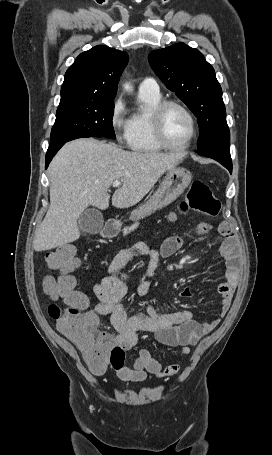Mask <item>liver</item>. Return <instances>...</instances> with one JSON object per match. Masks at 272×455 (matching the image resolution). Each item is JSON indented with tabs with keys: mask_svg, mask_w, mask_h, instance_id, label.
Masks as SVG:
<instances>
[{
	"mask_svg": "<svg viewBox=\"0 0 272 455\" xmlns=\"http://www.w3.org/2000/svg\"><path fill=\"white\" fill-rule=\"evenodd\" d=\"M183 156L129 152L92 138L66 143L49 166L50 207L36 231L34 250L46 251L79 239V216L89 205L108 208L107 191L115 180L123 184L114 192L112 204L134 206Z\"/></svg>",
	"mask_w": 272,
	"mask_h": 455,
	"instance_id": "6515ba94",
	"label": "liver"
}]
</instances>
